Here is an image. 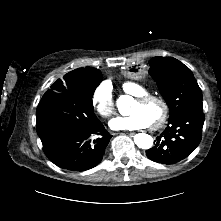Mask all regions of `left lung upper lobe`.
I'll use <instances>...</instances> for the list:
<instances>
[{
    "mask_svg": "<svg viewBox=\"0 0 221 221\" xmlns=\"http://www.w3.org/2000/svg\"><path fill=\"white\" fill-rule=\"evenodd\" d=\"M149 65L150 74L157 81L170 108L169 120L184 112L203 108L201 89L186 65L172 57H154ZM175 144L172 142L164 148L167 158L174 155L177 147Z\"/></svg>",
    "mask_w": 221,
    "mask_h": 221,
    "instance_id": "1",
    "label": "left lung upper lobe"
}]
</instances>
